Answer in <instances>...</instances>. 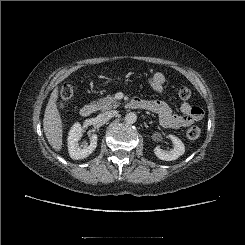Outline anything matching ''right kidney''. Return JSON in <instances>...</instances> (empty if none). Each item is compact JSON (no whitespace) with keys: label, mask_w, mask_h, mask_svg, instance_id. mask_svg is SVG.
Here are the masks:
<instances>
[{"label":"right kidney","mask_w":245,"mask_h":245,"mask_svg":"<svg viewBox=\"0 0 245 245\" xmlns=\"http://www.w3.org/2000/svg\"><path fill=\"white\" fill-rule=\"evenodd\" d=\"M82 137V128L79 123H75L70 129L68 136V151L72 159L81 160L88 157L97 147V135L92 134L90 144H79Z\"/></svg>","instance_id":"right-kidney-1"}]
</instances>
